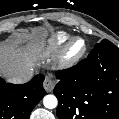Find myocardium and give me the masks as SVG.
I'll return each mask as SVG.
<instances>
[{
    "mask_svg": "<svg viewBox=\"0 0 119 119\" xmlns=\"http://www.w3.org/2000/svg\"><path fill=\"white\" fill-rule=\"evenodd\" d=\"M77 41L82 42V48L78 52L72 53L71 48H72L73 44ZM87 48H88L87 42L84 38L79 37V36L70 38L69 40H67L65 42L64 46L62 47V49L59 53V56H58L59 66L71 67V66L75 65L86 54Z\"/></svg>",
    "mask_w": 119,
    "mask_h": 119,
    "instance_id": "obj_1",
    "label": "myocardium"
}]
</instances>
